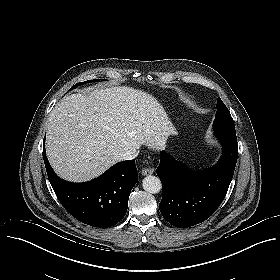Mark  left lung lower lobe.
<instances>
[{
  "instance_id": "left-lung-lower-lobe-1",
  "label": "left lung lower lobe",
  "mask_w": 280,
  "mask_h": 280,
  "mask_svg": "<svg viewBox=\"0 0 280 280\" xmlns=\"http://www.w3.org/2000/svg\"><path fill=\"white\" fill-rule=\"evenodd\" d=\"M222 156L212 168L193 172L165 152L156 170L162 182V216L173 226L187 228L205 221L222 203L238 158L237 141L219 139Z\"/></svg>"
}]
</instances>
